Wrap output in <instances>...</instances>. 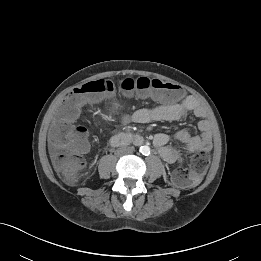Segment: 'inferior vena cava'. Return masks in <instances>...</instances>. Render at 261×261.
<instances>
[{
	"label": "inferior vena cava",
	"instance_id": "602c4592",
	"mask_svg": "<svg viewBox=\"0 0 261 261\" xmlns=\"http://www.w3.org/2000/svg\"><path fill=\"white\" fill-rule=\"evenodd\" d=\"M134 148L133 147H121L119 148L117 151L120 153V154H131L133 152Z\"/></svg>",
	"mask_w": 261,
	"mask_h": 261
}]
</instances>
